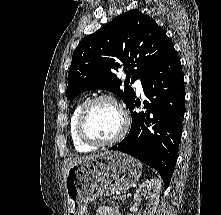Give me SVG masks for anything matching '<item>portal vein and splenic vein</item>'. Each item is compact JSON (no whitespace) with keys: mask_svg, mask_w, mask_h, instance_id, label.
<instances>
[{"mask_svg":"<svg viewBox=\"0 0 221 215\" xmlns=\"http://www.w3.org/2000/svg\"><path fill=\"white\" fill-rule=\"evenodd\" d=\"M126 198V196H122L121 199L124 200Z\"/></svg>","mask_w":221,"mask_h":215,"instance_id":"1","label":"portal vein and splenic vein"}]
</instances>
